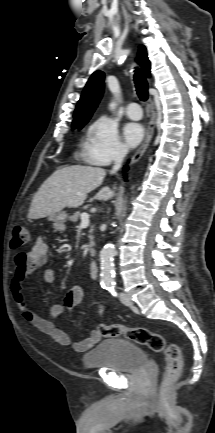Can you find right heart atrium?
<instances>
[{
	"instance_id": "right-heart-atrium-1",
	"label": "right heart atrium",
	"mask_w": 215,
	"mask_h": 433,
	"mask_svg": "<svg viewBox=\"0 0 215 433\" xmlns=\"http://www.w3.org/2000/svg\"><path fill=\"white\" fill-rule=\"evenodd\" d=\"M83 154L85 159L98 166H107L123 158L126 148L122 143L116 123L107 116L96 118L91 124Z\"/></svg>"
}]
</instances>
